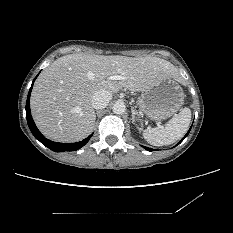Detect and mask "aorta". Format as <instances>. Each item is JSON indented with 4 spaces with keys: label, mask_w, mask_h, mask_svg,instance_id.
I'll return each mask as SVG.
<instances>
[{
    "label": "aorta",
    "mask_w": 233,
    "mask_h": 233,
    "mask_svg": "<svg viewBox=\"0 0 233 233\" xmlns=\"http://www.w3.org/2000/svg\"><path fill=\"white\" fill-rule=\"evenodd\" d=\"M112 110L115 114H123L126 110V106L124 104V102L122 101H117L113 107H112Z\"/></svg>",
    "instance_id": "762f6f07"
}]
</instances>
